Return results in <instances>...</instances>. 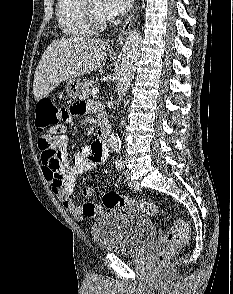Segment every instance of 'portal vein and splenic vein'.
Instances as JSON below:
<instances>
[{
	"label": "portal vein and splenic vein",
	"instance_id": "portal-vein-and-splenic-vein-1",
	"mask_svg": "<svg viewBox=\"0 0 233 294\" xmlns=\"http://www.w3.org/2000/svg\"><path fill=\"white\" fill-rule=\"evenodd\" d=\"M91 93H92L93 95H97V94L99 93V89H98V88H92V89H91Z\"/></svg>",
	"mask_w": 233,
	"mask_h": 294
}]
</instances>
